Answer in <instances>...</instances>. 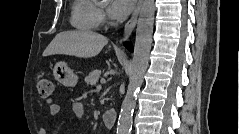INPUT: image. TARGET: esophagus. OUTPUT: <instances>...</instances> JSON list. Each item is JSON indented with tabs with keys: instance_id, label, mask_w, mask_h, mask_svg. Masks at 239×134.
<instances>
[{
	"instance_id": "esophagus-1",
	"label": "esophagus",
	"mask_w": 239,
	"mask_h": 134,
	"mask_svg": "<svg viewBox=\"0 0 239 134\" xmlns=\"http://www.w3.org/2000/svg\"><path fill=\"white\" fill-rule=\"evenodd\" d=\"M142 3H143V0H138V3L135 7V10H134L131 18L128 20V22L125 25L123 37L120 40V43L122 41H126L130 37V35L132 34V32H133V30L136 26V23H137V19H138V15H139Z\"/></svg>"
}]
</instances>
